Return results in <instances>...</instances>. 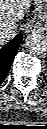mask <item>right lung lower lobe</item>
I'll return each instance as SVG.
<instances>
[{"mask_svg":"<svg viewBox=\"0 0 47 129\" xmlns=\"http://www.w3.org/2000/svg\"><path fill=\"white\" fill-rule=\"evenodd\" d=\"M21 42L22 34H18L13 40L0 49V84L6 78Z\"/></svg>","mask_w":47,"mask_h":129,"instance_id":"98d812e1","label":"right lung lower lobe"}]
</instances>
